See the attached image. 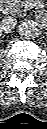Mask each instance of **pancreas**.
<instances>
[{
	"mask_svg": "<svg viewBox=\"0 0 47 129\" xmlns=\"http://www.w3.org/2000/svg\"><path fill=\"white\" fill-rule=\"evenodd\" d=\"M15 3V12H25L31 6L33 0H13Z\"/></svg>",
	"mask_w": 47,
	"mask_h": 129,
	"instance_id": "obj_1",
	"label": "pancreas"
}]
</instances>
